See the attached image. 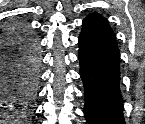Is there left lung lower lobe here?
I'll return each instance as SVG.
<instances>
[{
  "label": "left lung lower lobe",
  "mask_w": 145,
  "mask_h": 124,
  "mask_svg": "<svg viewBox=\"0 0 145 124\" xmlns=\"http://www.w3.org/2000/svg\"><path fill=\"white\" fill-rule=\"evenodd\" d=\"M80 75L88 124H125L120 92V54L107 20L90 14L79 35Z\"/></svg>",
  "instance_id": "1"
}]
</instances>
